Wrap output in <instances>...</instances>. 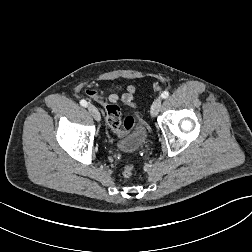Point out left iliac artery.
<instances>
[{"mask_svg": "<svg viewBox=\"0 0 252 252\" xmlns=\"http://www.w3.org/2000/svg\"><path fill=\"white\" fill-rule=\"evenodd\" d=\"M168 96H169V92H168V91H164V92L161 94V97H162L163 99H166Z\"/></svg>", "mask_w": 252, "mask_h": 252, "instance_id": "left-iliac-artery-1", "label": "left iliac artery"}]
</instances>
